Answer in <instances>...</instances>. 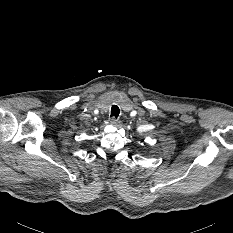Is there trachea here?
<instances>
[{"mask_svg": "<svg viewBox=\"0 0 233 233\" xmlns=\"http://www.w3.org/2000/svg\"><path fill=\"white\" fill-rule=\"evenodd\" d=\"M120 114V109L117 105H113L111 108V117L117 118Z\"/></svg>", "mask_w": 233, "mask_h": 233, "instance_id": "1", "label": "trachea"}]
</instances>
